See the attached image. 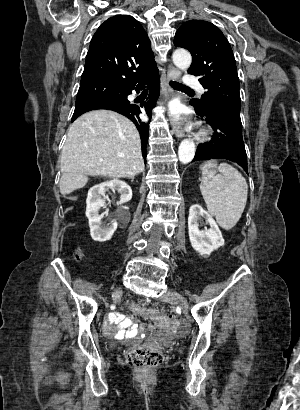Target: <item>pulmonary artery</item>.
Wrapping results in <instances>:
<instances>
[{"mask_svg": "<svg viewBox=\"0 0 300 410\" xmlns=\"http://www.w3.org/2000/svg\"><path fill=\"white\" fill-rule=\"evenodd\" d=\"M187 87L196 88L200 93H204L203 87L200 85L198 79L194 76H186L184 79Z\"/></svg>", "mask_w": 300, "mask_h": 410, "instance_id": "e3ab8cb5", "label": "pulmonary artery"}]
</instances>
